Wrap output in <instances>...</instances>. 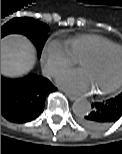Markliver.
<instances>
[{"label": "liver", "mask_w": 122, "mask_h": 154, "mask_svg": "<svg viewBox=\"0 0 122 154\" xmlns=\"http://www.w3.org/2000/svg\"><path fill=\"white\" fill-rule=\"evenodd\" d=\"M36 51L24 36L10 35L1 40V74L20 77L34 67Z\"/></svg>", "instance_id": "1"}]
</instances>
